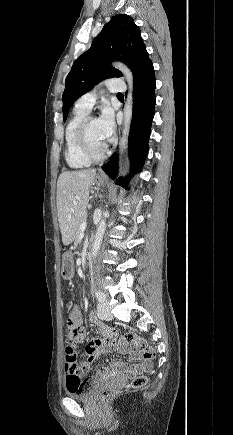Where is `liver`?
<instances>
[{
	"instance_id": "1",
	"label": "liver",
	"mask_w": 233,
	"mask_h": 435,
	"mask_svg": "<svg viewBox=\"0 0 233 435\" xmlns=\"http://www.w3.org/2000/svg\"><path fill=\"white\" fill-rule=\"evenodd\" d=\"M96 171H65L57 181V215L63 244L69 245L76 237L81 218L86 214L89 190Z\"/></svg>"
}]
</instances>
